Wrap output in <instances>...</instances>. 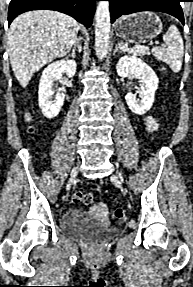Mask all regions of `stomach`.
<instances>
[{"label": "stomach", "mask_w": 193, "mask_h": 287, "mask_svg": "<svg viewBox=\"0 0 193 287\" xmlns=\"http://www.w3.org/2000/svg\"><path fill=\"white\" fill-rule=\"evenodd\" d=\"M162 31L161 19L152 12H140L122 17L115 26L116 35L126 42L143 44Z\"/></svg>", "instance_id": "0dacf381"}]
</instances>
